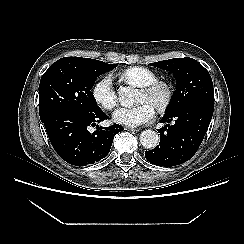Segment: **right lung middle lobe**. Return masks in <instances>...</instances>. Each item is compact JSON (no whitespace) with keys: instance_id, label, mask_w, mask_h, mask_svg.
Instances as JSON below:
<instances>
[{"instance_id":"dd1d6c3e","label":"right lung middle lobe","mask_w":244,"mask_h":244,"mask_svg":"<svg viewBox=\"0 0 244 244\" xmlns=\"http://www.w3.org/2000/svg\"><path fill=\"white\" fill-rule=\"evenodd\" d=\"M116 66L80 57H64L54 62L40 80V119L60 111L100 110L91 89L98 76Z\"/></svg>"}]
</instances>
